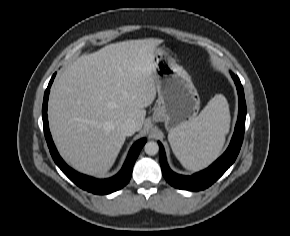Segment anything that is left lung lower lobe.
Returning a JSON list of instances; mask_svg holds the SVG:
<instances>
[{
  "instance_id": "0a47b994",
  "label": "left lung lower lobe",
  "mask_w": 290,
  "mask_h": 236,
  "mask_svg": "<svg viewBox=\"0 0 290 236\" xmlns=\"http://www.w3.org/2000/svg\"><path fill=\"white\" fill-rule=\"evenodd\" d=\"M231 76L236 84L238 97H239V113L238 120L235 126V131L231 139L230 145L225 153L218 158L207 169L200 171L192 176H183L174 173L168 166L164 148L159 142V159L162 168V173L166 181L175 188L199 191L211 186L216 180H218L224 172L234 163L238 153L240 151L244 130H245V118H246V102L244 97V91L242 84L238 76L231 73Z\"/></svg>"
}]
</instances>
